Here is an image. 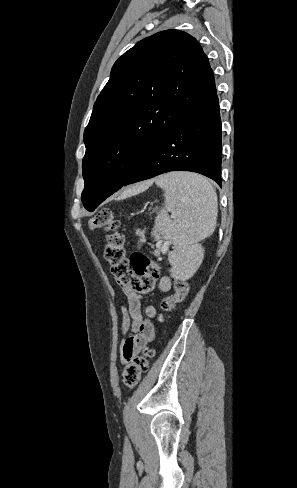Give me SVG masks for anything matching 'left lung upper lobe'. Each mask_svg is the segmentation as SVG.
I'll list each match as a JSON object with an SVG mask.
<instances>
[{
  "label": "left lung upper lobe",
  "instance_id": "obj_1",
  "mask_svg": "<svg viewBox=\"0 0 297 488\" xmlns=\"http://www.w3.org/2000/svg\"><path fill=\"white\" fill-rule=\"evenodd\" d=\"M214 93L208 58L183 31L158 32L118 58L84 131V207L93 211L120 189L161 140Z\"/></svg>",
  "mask_w": 297,
  "mask_h": 488
}]
</instances>
